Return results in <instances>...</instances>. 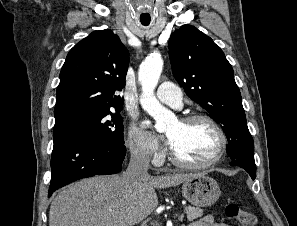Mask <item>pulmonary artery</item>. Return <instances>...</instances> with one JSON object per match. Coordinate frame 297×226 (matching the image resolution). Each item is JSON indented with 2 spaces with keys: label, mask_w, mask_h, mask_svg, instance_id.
Returning a JSON list of instances; mask_svg holds the SVG:
<instances>
[{
  "label": "pulmonary artery",
  "mask_w": 297,
  "mask_h": 226,
  "mask_svg": "<svg viewBox=\"0 0 297 226\" xmlns=\"http://www.w3.org/2000/svg\"><path fill=\"white\" fill-rule=\"evenodd\" d=\"M160 102L179 108L182 102L181 89L171 82H162L156 92Z\"/></svg>",
  "instance_id": "obj_1"
}]
</instances>
